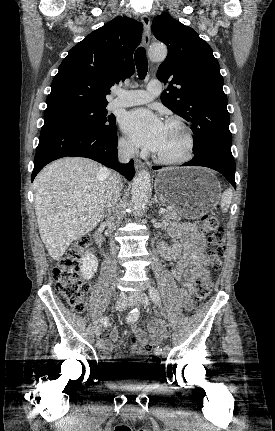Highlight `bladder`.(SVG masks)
<instances>
[{"label":"bladder","instance_id":"1","mask_svg":"<svg viewBox=\"0 0 275 431\" xmlns=\"http://www.w3.org/2000/svg\"><path fill=\"white\" fill-rule=\"evenodd\" d=\"M111 367L109 375L120 383H145L149 379L148 372L136 363H120L117 361H106Z\"/></svg>","mask_w":275,"mask_h":431}]
</instances>
